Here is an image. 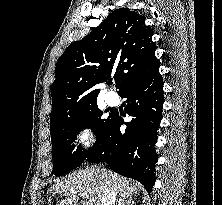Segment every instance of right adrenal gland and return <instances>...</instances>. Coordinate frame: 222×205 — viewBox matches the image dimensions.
<instances>
[{"label": "right adrenal gland", "instance_id": "right-adrenal-gland-1", "mask_svg": "<svg viewBox=\"0 0 222 205\" xmlns=\"http://www.w3.org/2000/svg\"><path fill=\"white\" fill-rule=\"evenodd\" d=\"M125 204L130 205V200H127V198L125 197H119L116 205H125Z\"/></svg>", "mask_w": 222, "mask_h": 205}]
</instances>
